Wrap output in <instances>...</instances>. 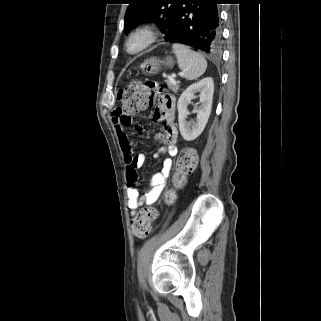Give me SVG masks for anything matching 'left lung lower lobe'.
<instances>
[{"label": "left lung lower lobe", "instance_id": "left-lung-lower-lobe-1", "mask_svg": "<svg viewBox=\"0 0 321 321\" xmlns=\"http://www.w3.org/2000/svg\"><path fill=\"white\" fill-rule=\"evenodd\" d=\"M222 0H180L170 18L165 41L181 43L209 54L222 46L217 4Z\"/></svg>", "mask_w": 321, "mask_h": 321}]
</instances>
